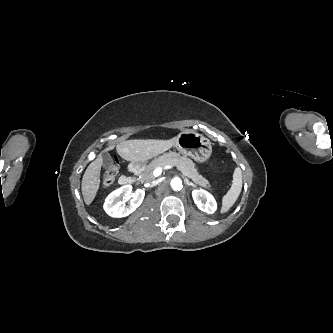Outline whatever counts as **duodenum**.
<instances>
[{"label":"duodenum","instance_id":"410a0bca","mask_svg":"<svg viewBox=\"0 0 333 333\" xmlns=\"http://www.w3.org/2000/svg\"><path fill=\"white\" fill-rule=\"evenodd\" d=\"M140 169L138 167L133 166L130 170V174L124 175L120 178V182L122 185H128L134 183L136 180V176L138 175Z\"/></svg>","mask_w":333,"mask_h":333}]
</instances>
